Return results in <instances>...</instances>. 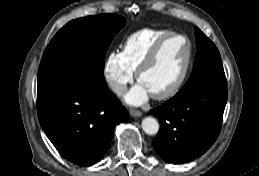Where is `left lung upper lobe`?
Here are the masks:
<instances>
[{
    "label": "left lung upper lobe",
    "mask_w": 259,
    "mask_h": 176,
    "mask_svg": "<svg viewBox=\"0 0 259 176\" xmlns=\"http://www.w3.org/2000/svg\"><path fill=\"white\" fill-rule=\"evenodd\" d=\"M197 54L192 74L178 93L185 92L195 86L212 83L227 85L226 77L218 49L201 31L195 28Z\"/></svg>",
    "instance_id": "1"
}]
</instances>
